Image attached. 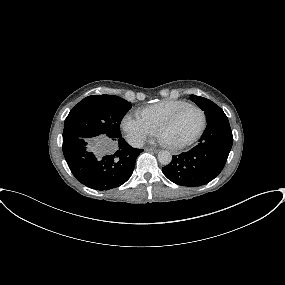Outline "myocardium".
I'll return each instance as SVG.
<instances>
[{
    "instance_id": "obj_1",
    "label": "myocardium",
    "mask_w": 285,
    "mask_h": 285,
    "mask_svg": "<svg viewBox=\"0 0 285 285\" xmlns=\"http://www.w3.org/2000/svg\"><path fill=\"white\" fill-rule=\"evenodd\" d=\"M187 108H195L200 112L201 117H202L201 126L195 135H193L191 138H189L188 140H186L184 142H181V143L165 142V144L171 149H182V148H185V147L193 144L194 142H196L201 137V135L203 134V132L206 128L207 118H206V114L203 111V109L201 107H199L198 105L188 103V104L180 107L179 109H177L171 116H169L166 120H164L161 124H159V126L157 127V133L162 135V132L166 128L171 126L175 122V120L178 118V116Z\"/></svg>"
}]
</instances>
